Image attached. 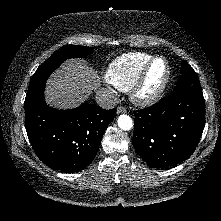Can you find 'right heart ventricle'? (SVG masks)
I'll return each mask as SVG.
<instances>
[{"label":"right heart ventricle","mask_w":221,"mask_h":221,"mask_svg":"<svg viewBox=\"0 0 221 221\" xmlns=\"http://www.w3.org/2000/svg\"><path fill=\"white\" fill-rule=\"evenodd\" d=\"M152 57L143 52L123 54L109 64L105 78L117 89L128 91L142 68Z\"/></svg>","instance_id":"right-heart-ventricle-1"}]
</instances>
